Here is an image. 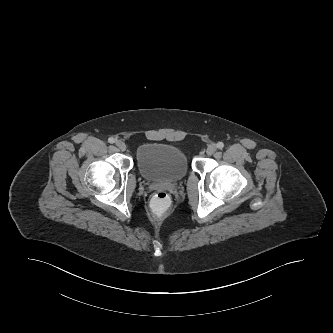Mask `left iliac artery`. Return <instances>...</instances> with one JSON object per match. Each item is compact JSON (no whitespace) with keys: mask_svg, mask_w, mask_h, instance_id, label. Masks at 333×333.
<instances>
[{"mask_svg":"<svg viewBox=\"0 0 333 333\" xmlns=\"http://www.w3.org/2000/svg\"><path fill=\"white\" fill-rule=\"evenodd\" d=\"M224 147V143L223 142H218L217 143V148L222 149Z\"/></svg>","mask_w":333,"mask_h":333,"instance_id":"obj_1","label":"left iliac artery"}]
</instances>
